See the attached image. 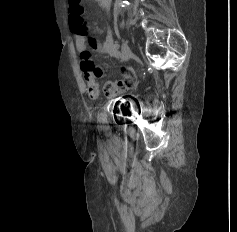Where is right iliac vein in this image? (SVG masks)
Instances as JSON below:
<instances>
[{"instance_id":"obj_1","label":"right iliac vein","mask_w":237,"mask_h":232,"mask_svg":"<svg viewBox=\"0 0 237 232\" xmlns=\"http://www.w3.org/2000/svg\"><path fill=\"white\" fill-rule=\"evenodd\" d=\"M131 56V49L126 42L122 43V61L126 62Z\"/></svg>"}]
</instances>
